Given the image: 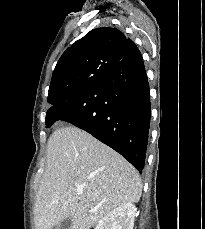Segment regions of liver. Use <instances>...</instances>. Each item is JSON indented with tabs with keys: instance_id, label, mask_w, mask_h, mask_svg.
Wrapping results in <instances>:
<instances>
[{
	"instance_id": "1",
	"label": "liver",
	"mask_w": 205,
	"mask_h": 229,
	"mask_svg": "<svg viewBox=\"0 0 205 229\" xmlns=\"http://www.w3.org/2000/svg\"><path fill=\"white\" fill-rule=\"evenodd\" d=\"M46 157L34 209L36 229H52L68 217L70 229H90L117 206L140 200L142 183L136 169L77 127L56 129L48 139Z\"/></svg>"
}]
</instances>
